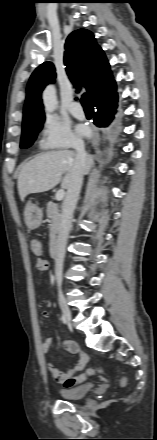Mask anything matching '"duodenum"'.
Returning a JSON list of instances; mask_svg holds the SVG:
<instances>
[{
    "instance_id": "1",
    "label": "duodenum",
    "mask_w": 157,
    "mask_h": 440,
    "mask_svg": "<svg viewBox=\"0 0 157 440\" xmlns=\"http://www.w3.org/2000/svg\"><path fill=\"white\" fill-rule=\"evenodd\" d=\"M50 255L53 259H57L59 256L58 246L56 240H52L50 243Z\"/></svg>"
}]
</instances>
